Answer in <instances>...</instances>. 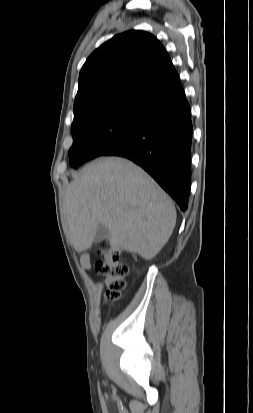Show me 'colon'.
I'll list each match as a JSON object with an SVG mask.
<instances>
[{
	"label": "colon",
	"instance_id": "1",
	"mask_svg": "<svg viewBox=\"0 0 253 413\" xmlns=\"http://www.w3.org/2000/svg\"><path fill=\"white\" fill-rule=\"evenodd\" d=\"M96 270L104 277L105 299L118 300L125 287L124 278L128 273L127 265L120 260L119 251L109 249L103 252V258L96 263Z\"/></svg>",
	"mask_w": 253,
	"mask_h": 413
}]
</instances>
